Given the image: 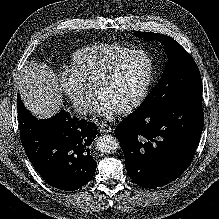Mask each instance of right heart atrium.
<instances>
[{
    "mask_svg": "<svg viewBox=\"0 0 219 219\" xmlns=\"http://www.w3.org/2000/svg\"><path fill=\"white\" fill-rule=\"evenodd\" d=\"M58 86L79 114L86 115L91 110L95 92L89 89L72 70L60 74Z\"/></svg>",
    "mask_w": 219,
    "mask_h": 219,
    "instance_id": "right-heart-atrium-1",
    "label": "right heart atrium"
}]
</instances>
